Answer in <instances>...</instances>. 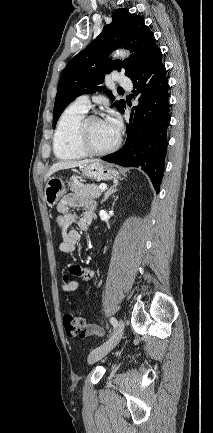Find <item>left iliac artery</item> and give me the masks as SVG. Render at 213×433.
<instances>
[{
    "label": "left iliac artery",
    "instance_id": "1",
    "mask_svg": "<svg viewBox=\"0 0 213 433\" xmlns=\"http://www.w3.org/2000/svg\"><path fill=\"white\" fill-rule=\"evenodd\" d=\"M110 322H111V324L113 325V327H114V328H116V327H117V325H118V322H117L116 318H114V317H111V318H110Z\"/></svg>",
    "mask_w": 213,
    "mask_h": 433
}]
</instances>
